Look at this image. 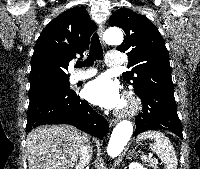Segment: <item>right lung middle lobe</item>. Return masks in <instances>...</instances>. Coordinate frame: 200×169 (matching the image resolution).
I'll return each mask as SVG.
<instances>
[{"label":"right lung middle lobe","instance_id":"1","mask_svg":"<svg viewBox=\"0 0 200 169\" xmlns=\"http://www.w3.org/2000/svg\"><path fill=\"white\" fill-rule=\"evenodd\" d=\"M56 88H70V83L68 78L62 79H48L41 81L37 84L31 85L29 90V96L35 93L47 92L50 90H54Z\"/></svg>","mask_w":200,"mask_h":169}]
</instances>
